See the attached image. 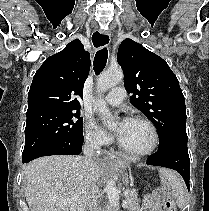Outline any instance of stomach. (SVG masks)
Here are the masks:
<instances>
[{
  "instance_id": "stomach-1",
  "label": "stomach",
  "mask_w": 209,
  "mask_h": 211,
  "mask_svg": "<svg viewBox=\"0 0 209 211\" xmlns=\"http://www.w3.org/2000/svg\"><path fill=\"white\" fill-rule=\"evenodd\" d=\"M118 166L120 168V174L122 177V180L124 182V184L127 186L130 182V177L128 176L126 170L129 167V163L126 160H120L118 161Z\"/></svg>"
}]
</instances>
